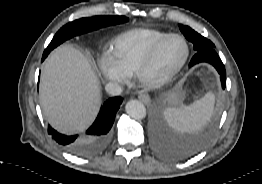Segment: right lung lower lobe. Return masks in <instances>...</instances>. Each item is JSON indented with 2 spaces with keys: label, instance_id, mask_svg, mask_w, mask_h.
Instances as JSON below:
<instances>
[{
  "label": "right lung lower lobe",
  "instance_id": "98d812e1",
  "mask_svg": "<svg viewBox=\"0 0 262 184\" xmlns=\"http://www.w3.org/2000/svg\"><path fill=\"white\" fill-rule=\"evenodd\" d=\"M45 58H42L44 60ZM122 103L121 97L108 99L100 109L93 125L86 131L83 138L66 136L48 126V133L53 139L75 154L93 155L102 151L109 143L110 129L113 125L116 112Z\"/></svg>",
  "mask_w": 262,
  "mask_h": 184
}]
</instances>
